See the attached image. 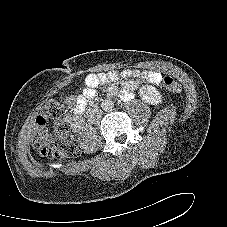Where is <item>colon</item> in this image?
<instances>
[{
	"label": "colon",
	"instance_id": "colon-1",
	"mask_svg": "<svg viewBox=\"0 0 227 227\" xmlns=\"http://www.w3.org/2000/svg\"><path fill=\"white\" fill-rule=\"evenodd\" d=\"M168 93L177 94L181 87L172 77L166 76L162 81ZM71 102L72 98H67ZM65 113L63 105L55 99L47 101L37 118L33 135V147L44 156L48 157H75L79 153V146L70 133L67 124L58 122L53 129L45 126L47 119L60 121Z\"/></svg>",
	"mask_w": 227,
	"mask_h": 227
}]
</instances>
